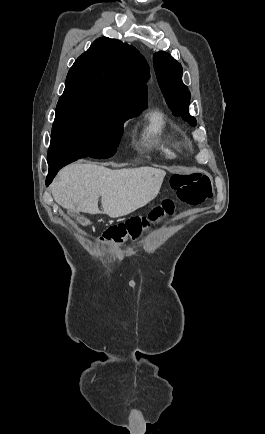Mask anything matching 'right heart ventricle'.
<instances>
[{"label":"right heart ventricle","mask_w":265,"mask_h":434,"mask_svg":"<svg viewBox=\"0 0 265 434\" xmlns=\"http://www.w3.org/2000/svg\"><path fill=\"white\" fill-rule=\"evenodd\" d=\"M141 119L145 125L142 134L144 143H161L176 156L184 153V140L170 129L166 114L161 109H147L141 114Z\"/></svg>","instance_id":"right-heart-ventricle-1"}]
</instances>
